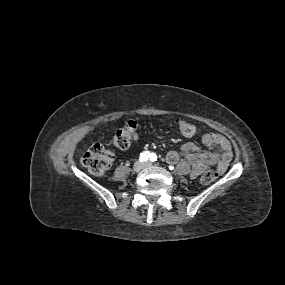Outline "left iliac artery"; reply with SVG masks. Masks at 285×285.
Instances as JSON below:
<instances>
[{
	"label": "left iliac artery",
	"instance_id": "44dca946",
	"mask_svg": "<svg viewBox=\"0 0 285 285\" xmlns=\"http://www.w3.org/2000/svg\"><path fill=\"white\" fill-rule=\"evenodd\" d=\"M150 161L152 162L157 161V155L155 153H150Z\"/></svg>",
	"mask_w": 285,
	"mask_h": 285
}]
</instances>
